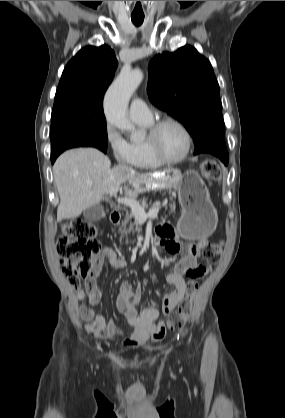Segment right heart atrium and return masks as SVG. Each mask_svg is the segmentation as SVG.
I'll list each match as a JSON object with an SVG mask.
<instances>
[{
	"label": "right heart atrium",
	"mask_w": 285,
	"mask_h": 418,
	"mask_svg": "<svg viewBox=\"0 0 285 418\" xmlns=\"http://www.w3.org/2000/svg\"><path fill=\"white\" fill-rule=\"evenodd\" d=\"M104 141L106 147L119 165L132 164L131 151L128 143L111 125H107L105 128Z\"/></svg>",
	"instance_id": "1"
}]
</instances>
